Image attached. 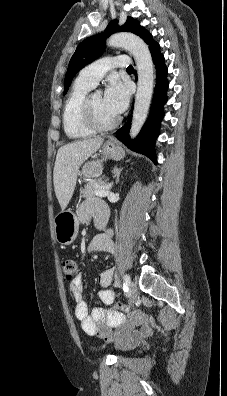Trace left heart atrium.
Masks as SVG:
<instances>
[{"mask_svg": "<svg viewBox=\"0 0 227 396\" xmlns=\"http://www.w3.org/2000/svg\"><path fill=\"white\" fill-rule=\"evenodd\" d=\"M129 89L118 79H111L103 96L105 108L114 116L121 114L128 106Z\"/></svg>", "mask_w": 227, "mask_h": 396, "instance_id": "39dd6f15", "label": "left heart atrium"}]
</instances>
